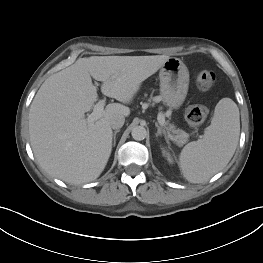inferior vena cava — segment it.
<instances>
[{
  "instance_id": "inferior-vena-cava-1",
  "label": "inferior vena cava",
  "mask_w": 263,
  "mask_h": 263,
  "mask_svg": "<svg viewBox=\"0 0 263 263\" xmlns=\"http://www.w3.org/2000/svg\"><path fill=\"white\" fill-rule=\"evenodd\" d=\"M125 117L123 115H114L110 120V126L113 129H119L124 125Z\"/></svg>"
}]
</instances>
